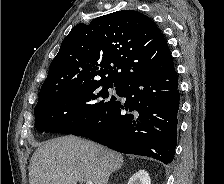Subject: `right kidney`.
<instances>
[{"instance_id": "ca27d5eb", "label": "right kidney", "mask_w": 224, "mask_h": 184, "mask_svg": "<svg viewBox=\"0 0 224 184\" xmlns=\"http://www.w3.org/2000/svg\"><path fill=\"white\" fill-rule=\"evenodd\" d=\"M127 184H151V179L147 171L139 170L132 175Z\"/></svg>"}]
</instances>
